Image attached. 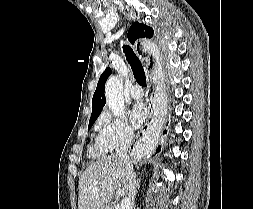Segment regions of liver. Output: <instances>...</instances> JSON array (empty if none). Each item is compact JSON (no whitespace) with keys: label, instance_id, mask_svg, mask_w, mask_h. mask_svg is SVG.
Masks as SVG:
<instances>
[{"label":"liver","instance_id":"6515ba94","mask_svg":"<svg viewBox=\"0 0 253 209\" xmlns=\"http://www.w3.org/2000/svg\"><path fill=\"white\" fill-rule=\"evenodd\" d=\"M129 180L127 163L115 154L93 163L79 179L78 209H109L115 194L130 197Z\"/></svg>","mask_w":253,"mask_h":209}]
</instances>
